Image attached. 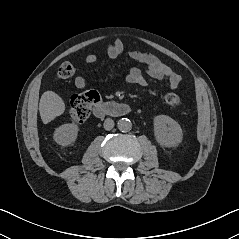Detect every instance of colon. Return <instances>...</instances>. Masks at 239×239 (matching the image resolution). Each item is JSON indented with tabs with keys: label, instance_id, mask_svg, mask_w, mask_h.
Returning a JSON list of instances; mask_svg holds the SVG:
<instances>
[{
	"label": "colon",
	"instance_id": "obj_1",
	"mask_svg": "<svg viewBox=\"0 0 239 239\" xmlns=\"http://www.w3.org/2000/svg\"><path fill=\"white\" fill-rule=\"evenodd\" d=\"M74 67L69 62H64L58 68V76L62 79L70 78L74 75ZM100 95L95 91H88L75 94L71 98L70 116L76 123L84 122L91 114L92 108L100 103ZM166 103L172 108L181 107L180 98L173 93H169L165 97Z\"/></svg>",
	"mask_w": 239,
	"mask_h": 239
}]
</instances>
